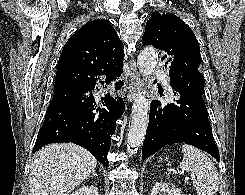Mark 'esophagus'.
<instances>
[{
	"label": "esophagus",
	"instance_id": "obj_1",
	"mask_svg": "<svg viewBox=\"0 0 245 195\" xmlns=\"http://www.w3.org/2000/svg\"><path fill=\"white\" fill-rule=\"evenodd\" d=\"M130 69H131L130 84L128 87V94H127L128 102H132L136 94L137 88L139 87V84H140V75L137 70V65H136L135 60H132Z\"/></svg>",
	"mask_w": 245,
	"mask_h": 195
}]
</instances>
